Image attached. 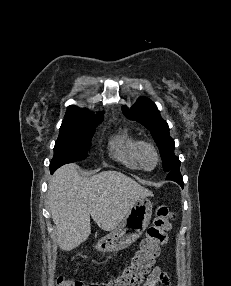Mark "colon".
Here are the masks:
<instances>
[{
  "instance_id": "colon-1",
  "label": "colon",
  "mask_w": 231,
  "mask_h": 286,
  "mask_svg": "<svg viewBox=\"0 0 231 286\" xmlns=\"http://www.w3.org/2000/svg\"><path fill=\"white\" fill-rule=\"evenodd\" d=\"M174 219L175 214L168 207L157 208L153 224L147 230L139 249L118 276L108 281L89 284L59 277L57 286H140L145 275L150 272L156 258L160 255L161 246L167 241Z\"/></svg>"
}]
</instances>
